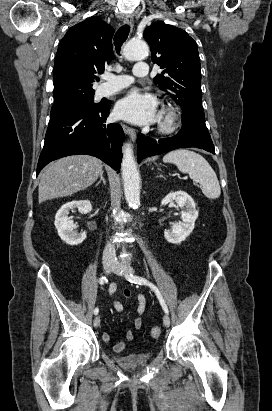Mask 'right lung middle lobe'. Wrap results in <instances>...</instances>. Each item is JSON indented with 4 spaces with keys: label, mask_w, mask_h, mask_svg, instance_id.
Instances as JSON below:
<instances>
[{
    "label": "right lung middle lobe",
    "mask_w": 272,
    "mask_h": 411,
    "mask_svg": "<svg viewBox=\"0 0 272 411\" xmlns=\"http://www.w3.org/2000/svg\"><path fill=\"white\" fill-rule=\"evenodd\" d=\"M94 92L93 89L77 91L73 93L70 98L62 102L54 103L51 109L50 118L76 109L98 105L94 103Z\"/></svg>",
    "instance_id": "dd1d6c3e"
}]
</instances>
